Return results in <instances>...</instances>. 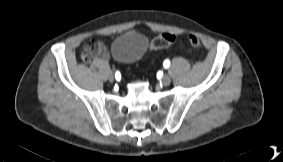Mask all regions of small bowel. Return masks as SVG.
Returning <instances> with one entry per match:
<instances>
[{
  "mask_svg": "<svg viewBox=\"0 0 283 162\" xmlns=\"http://www.w3.org/2000/svg\"><path fill=\"white\" fill-rule=\"evenodd\" d=\"M85 52L91 54L92 56L96 54L101 59H107L109 56L108 48L102 42L87 45L85 47Z\"/></svg>",
  "mask_w": 283,
  "mask_h": 162,
  "instance_id": "c3829d8e",
  "label": "small bowel"
}]
</instances>
